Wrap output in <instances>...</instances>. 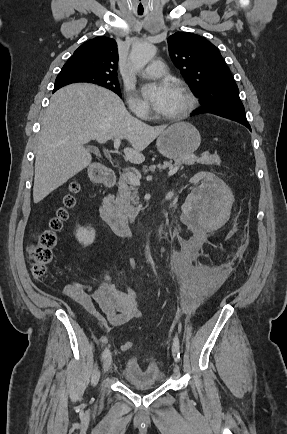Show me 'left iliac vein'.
<instances>
[{
	"label": "left iliac vein",
	"mask_w": 287,
	"mask_h": 434,
	"mask_svg": "<svg viewBox=\"0 0 287 434\" xmlns=\"http://www.w3.org/2000/svg\"><path fill=\"white\" fill-rule=\"evenodd\" d=\"M172 355H173L174 359H177V357H178L177 348L174 345L172 346ZM174 371L175 372L179 371V365L174 366Z\"/></svg>",
	"instance_id": "left-iliac-vein-1"
}]
</instances>
